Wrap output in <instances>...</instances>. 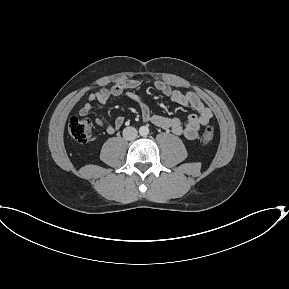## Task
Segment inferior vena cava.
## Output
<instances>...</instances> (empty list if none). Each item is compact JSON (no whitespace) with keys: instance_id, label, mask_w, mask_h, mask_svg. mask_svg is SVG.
Here are the masks:
<instances>
[{"instance_id":"602c4592","label":"inferior vena cava","mask_w":289,"mask_h":289,"mask_svg":"<svg viewBox=\"0 0 289 289\" xmlns=\"http://www.w3.org/2000/svg\"><path fill=\"white\" fill-rule=\"evenodd\" d=\"M137 134H138V132L134 127H126L123 130V137L128 141H132V140L136 139Z\"/></svg>"}]
</instances>
